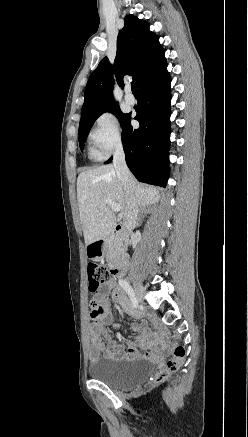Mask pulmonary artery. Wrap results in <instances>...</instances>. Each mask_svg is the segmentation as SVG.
I'll return each mask as SVG.
<instances>
[{
    "label": "pulmonary artery",
    "instance_id": "obj_1",
    "mask_svg": "<svg viewBox=\"0 0 248 437\" xmlns=\"http://www.w3.org/2000/svg\"><path fill=\"white\" fill-rule=\"evenodd\" d=\"M125 101L128 104H134L135 103V98H134L133 94L131 93L130 88L126 89Z\"/></svg>",
    "mask_w": 248,
    "mask_h": 437
}]
</instances>
